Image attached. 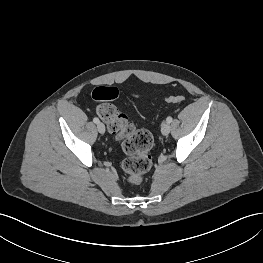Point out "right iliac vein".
Segmentation results:
<instances>
[{"mask_svg": "<svg viewBox=\"0 0 263 263\" xmlns=\"http://www.w3.org/2000/svg\"><path fill=\"white\" fill-rule=\"evenodd\" d=\"M97 130L99 133L104 134L105 133V126L103 123L99 122L97 124Z\"/></svg>", "mask_w": 263, "mask_h": 263, "instance_id": "1", "label": "right iliac vein"}]
</instances>
